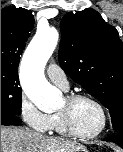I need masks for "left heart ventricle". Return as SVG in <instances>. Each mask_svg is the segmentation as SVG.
Returning a JSON list of instances; mask_svg holds the SVG:
<instances>
[{
    "label": "left heart ventricle",
    "mask_w": 123,
    "mask_h": 152,
    "mask_svg": "<svg viewBox=\"0 0 123 152\" xmlns=\"http://www.w3.org/2000/svg\"><path fill=\"white\" fill-rule=\"evenodd\" d=\"M67 108L64 99L59 111ZM73 125L81 133H93L101 125L102 117L99 109L88 100H78L70 107Z\"/></svg>",
    "instance_id": "obj_1"
}]
</instances>
